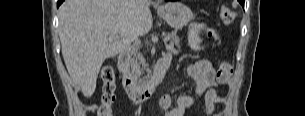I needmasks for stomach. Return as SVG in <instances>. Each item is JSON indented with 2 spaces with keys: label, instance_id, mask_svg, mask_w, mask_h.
<instances>
[{
  "label": "stomach",
  "instance_id": "0dacf381",
  "mask_svg": "<svg viewBox=\"0 0 305 116\" xmlns=\"http://www.w3.org/2000/svg\"><path fill=\"white\" fill-rule=\"evenodd\" d=\"M158 14L175 29H181L193 18L192 11L180 2H169L160 6Z\"/></svg>",
  "mask_w": 305,
  "mask_h": 116
}]
</instances>
